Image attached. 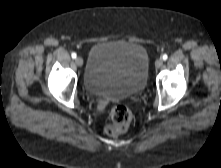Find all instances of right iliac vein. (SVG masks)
<instances>
[{
    "label": "right iliac vein",
    "instance_id": "obj_1",
    "mask_svg": "<svg viewBox=\"0 0 221 168\" xmlns=\"http://www.w3.org/2000/svg\"><path fill=\"white\" fill-rule=\"evenodd\" d=\"M75 63L77 66L81 67L83 65V59L81 57H77L75 59Z\"/></svg>",
    "mask_w": 221,
    "mask_h": 168
}]
</instances>
